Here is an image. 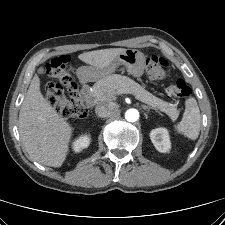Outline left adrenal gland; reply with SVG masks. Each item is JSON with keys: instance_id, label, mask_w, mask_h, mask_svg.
<instances>
[{"instance_id": "left-adrenal-gland-1", "label": "left adrenal gland", "mask_w": 225, "mask_h": 225, "mask_svg": "<svg viewBox=\"0 0 225 225\" xmlns=\"http://www.w3.org/2000/svg\"><path fill=\"white\" fill-rule=\"evenodd\" d=\"M142 108L145 109V110H146V109H148V110L152 109L151 107H148V106H146V105H142Z\"/></svg>"}]
</instances>
